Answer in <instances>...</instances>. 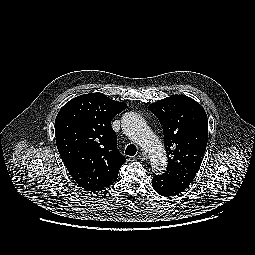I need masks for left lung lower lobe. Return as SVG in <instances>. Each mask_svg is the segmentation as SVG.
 <instances>
[{"label": "left lung lower lobe", "mask_w": 255, "mask_h": 255, "mask_svg": "<svg viewBox=\"0 0 255 255\" xmlns=\"http://www.w3.org/2000/svg\"><path fill=\"white\" fill-rule=\"evenodd\" d=\"M152 187L158 194L165 197H172V196L179 195L181 192H183L187 188L185 186H181L170 180H167L161 175H157L153 177Z\"/></svg>", "instance_id": "0a47b994"}]
</instances>
